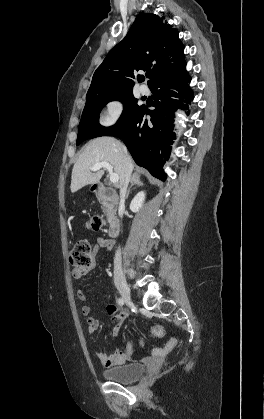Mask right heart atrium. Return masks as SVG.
<instances>
[{"mask_svg":"<svg viewBox=\"0 0 264 419\" xmlns=\"http://www.w3.org/2000/svg\"><path fill=\"white\" fill-rule=\"evenodd\" d=\"M125 111V103L122 99L115 98L107 102L106 108L101 116V124L105 127L116 124Z\"/></svg>","mask_w":264,"mask_h":419,"instance_id":"obj_1","label":"right heart atrium"}]
</instances>
